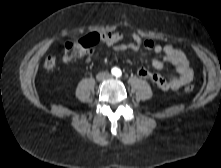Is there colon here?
<instances>
[{
	"label": "colon",
	"mask_w": 221,
	"mask_h": 168,
	"mask_svg": "<svg viewBox=\"0 0 221 168\" xmlns=\"http://www.w3.org/2000/svg\"><path fill=\"white\" fill-rule=\"evenodd\" d=\"M127 38V33L123 29H115L110 32H102L101 34L93 33L81 39H76L65 43L62 52V60L68 62L81 57L90 49L96 46L99 42H104L107 45L118 44ZM128 40L135 44L138 48H143L146 45V40L140 38L138 33H130ZM57 58L55 55L48 56L44 61L46 69H53L56 65ZM185 91L190 93L193 91V86H187Z\"/></svg>",
	"instance_id": "5ec220e1"
}]
</instances>
